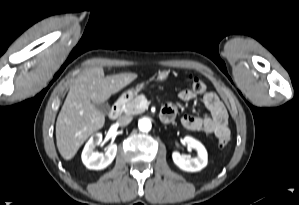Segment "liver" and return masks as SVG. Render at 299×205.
<instances>
[{
  "label": "liver",
  "instance_id": "obj_1",
  "mask_svg": "<svg viewBox=\"0 0 299 205\" xmlns=\"http://www.w3.org/2000/svg\"><path fill=\"white\" fill-rule=\"evenodd\" d=\"M138 75L120 73L104 76L102 66L84 71L70 88L56 121V142L65 160L72 159L88 137L101 129L105 116L94 105L107 101Z\"/></svg>",
  "mask_w": 299,
  "mask_h": 205
}]
</instances>
